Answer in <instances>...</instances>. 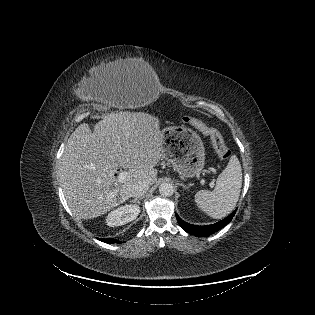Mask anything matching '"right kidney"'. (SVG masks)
<instances>
[{
    "label": "right kidney",
    "mask_w": 315,
    "mask_h": 315,
    "mask_svg": "<svg viewBox=\"0 0 315 315\" xmlns=\"http://www.w3.org/2000/svg\"><path fill=\"white\" fill-rule=\"evenodd\" d=\"M139 213V205H124L111 211L106 218V223L110 227L125 225L135 220Z\"/></svg>",
    "instance_id": "right-kidney-1"
}]
</instances>
